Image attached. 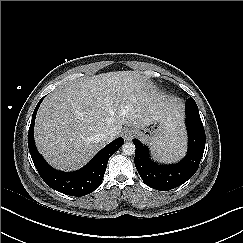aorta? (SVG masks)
<instances>
[{
    "instance_id": "762f6f07",
    "label": "aorta",
    "mask_w": 243,
    "mask_h": 243,
    "mask_svg": "<svg viewBox=\"0 0 243 243\" xmlns=\"http://www.w3.org/2000/svg\"><path fill=\"white\" fill-rule=\"evenodd\" d=\"M135 145L132 142H126L122 145V151L125 155H133L135 153Z\"/></svg>"
}]
</instances>
